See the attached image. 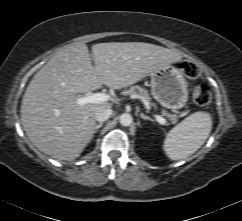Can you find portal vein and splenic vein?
Wrapping results in <instances>:
<instances>
[{
  "label": "portal vein and splenic vein",
  "mask_w": 242,
  "mask_h": 221,
  "mask_svg": "<svg viewBox=\"0 0 242 221\" xmlns=\"http://www.w3.org/2000/svg\"><path fill=\"white\" fill-rule=\"evenodd\" d=\"M110 99V96L106 93H94L91 95L83 96L77 99V103L82 107L85 104H98L106 102ZM155 119L162 125L167 123L166 119L161 117L160 115H154Z\"/></svg>",
  "instance_id": "1"
}]
</instances>
